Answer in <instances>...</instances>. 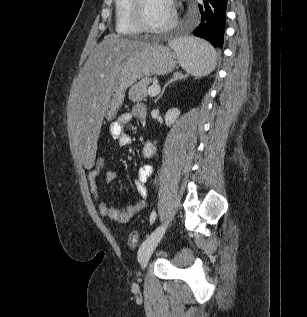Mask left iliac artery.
Instances as JSON below:
<instances>
[{
  "label": "left iliac artery",
  "instance_id": "44dca946",
  "mask_svg": "<svg viewBox=\"0 0 307 317\" xmlns=\"http://www.w3.org/2000/svg\"><path fill=\"white\" fill-rule=\"evenodd\" d=\"M155 219H156V212L153 211L150 215V223L151 224L154 223Z\"/></svg>",
  "mask_w": 307,
  "mask_h": 317
}]
</instances>
